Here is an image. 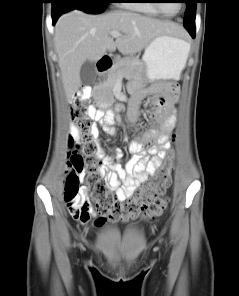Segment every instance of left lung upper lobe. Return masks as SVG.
<instances>
[{"mask_svg":"<svg viewBox=\"0 0 239 296\" xmlns=\"http://www.w3.org/2000/svg\"><path fill=\"white\" fill-rule=\"evenodd\" d=\"M186 12L184 16V27L195 25L196 4L197 0H185Z\"/></svg>","mask_w":239,"mask_h":296,"instance_id":"obj_1","label":"left lung upper lobe"}]
</instances>
